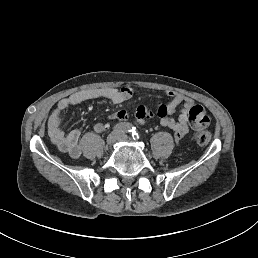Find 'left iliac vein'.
<instances>
[{
	"mask_svg": "<svg viewBox=\"0 0 258 258\" xmlns=\"http://www.w3.org/2000/svg\"><path fill=\"white\" fill-rule=\"evenodd\" d=\"M118 138L120 141H129L130 137L127 136L125 132H122L121 134L118 135Z\"/></svg>",
	"mask_w": 258,
	"mask_h": 258,
	"instance_id": "1",
	"label": "left iliac vein"
}]
</instances>
